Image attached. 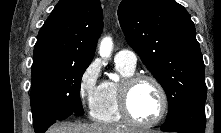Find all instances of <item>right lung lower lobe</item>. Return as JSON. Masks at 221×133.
Masks as SVG:
<instances>
[{
    "label": "right lung lower lobe",
    "instance_id": "right-lung-lower-lobe-1",
    "mask_svg": "<svg viewBox=\"0 0 221 133\" xmlns=\"http://www.w3.org/2000/svg\"><path fill=\"white\" fill-rule=\"evenodd\" d=\"M57 120L55 118H42L37 122H33L35 133H44Z\"/></svg>",
    "mask_w": 221,
    "mask_h": 133
}]
</instances>
